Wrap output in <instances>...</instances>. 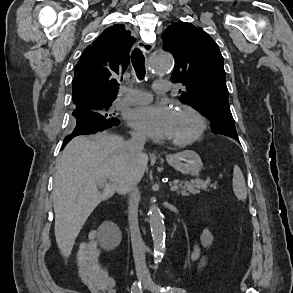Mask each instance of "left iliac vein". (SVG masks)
Returning <instances> with one entry per match:
<instances>
[{
	"mask_svg": "<svg viewBox=\"0 0 293 293\" xmlns=\"http://www.w3.org/2000/svg\"><path fill=\"white\" fill-rule=\"evenodd\" d=\"M143 285L145 286L146 289H148L152 293L160 292V288L151 280L149 275L145 276Z\"/></svg>",
	"mask_w": 293,
	"mask_h": 293,
	"instance_id": "1",
	"label": "left iliac vein"
}]
</instances>
